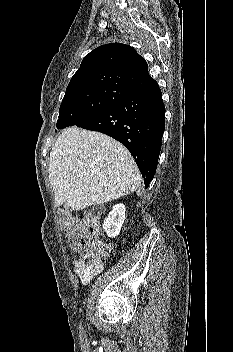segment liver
<instances>
[{
  "mask_svg": "<svg viewBox=\"0 0 233 352\" xmlns=\"http://www.w3.org/2000/svg\"><path fill=\"white\" fill-rule=\"evenodd\" d=\"M55 205L72 210L118 199L141 184L130 152L111 137L76 126L65 129L50 152Z\"/></svg>",
  "mask_w": 233,
  "mask_h": 352,
  "instance_id": "1",
  "label": "liver"
}]
</instances>
